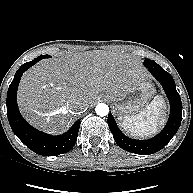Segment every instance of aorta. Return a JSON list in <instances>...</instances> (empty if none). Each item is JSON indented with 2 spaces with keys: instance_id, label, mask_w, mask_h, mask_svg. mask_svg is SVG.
I'll return each mask as SVG.
<instances>
[{
  "instance_id": "obj_1",
  "label": "aorta",
  "mask_w": 193,
  "mask_h": 193,
  "mask_svg": "<svg viewBox=\"0 0 193 193\" xmlns=\"http://www.w3.org/2000/svg\"><path fill=\"white\" fill-rule=\"evenodd\" d=\"M95 111L99 116H106L109 113V107L104 103H100L96 106Z\"/></svg>"
}]
</instances>
